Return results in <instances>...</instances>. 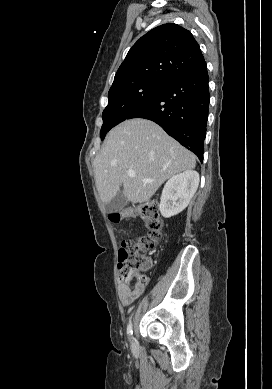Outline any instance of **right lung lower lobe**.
<instances>
[{"mask_svg":"<svg viewBox=\"0 0 272 389\" xmlns=\"http://www.w3.org/2000/svg\"><path fill=\"white\" fill-rule=\"evenodd\" d=\"M208 81L203 61L167 82L127 119L145 118L156 122L202 162L210 100Z\"/></svg>","mask_w":272,"mask_h":389,"instance_id":"1","label":"right lung lower lobe"}]
</instances>
